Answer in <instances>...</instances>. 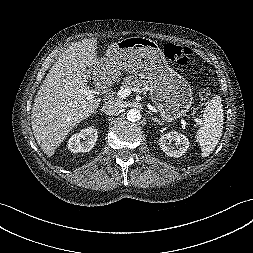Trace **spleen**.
Here are the masks:
<instances>
[{"mask_svg": "<svg viewBox=\"0 0 253 253\" xmlns=\"http://www.w3.org/2000/svg\"><path fill=\"white\" fill-rule=\"evenodd\" d=\"M223 105L220 96L213 97L206 106L202 125L196 132L202 157H207L217 146L223 131Z\"/></svg>", "mask_w": 253, "mask_h": 253, "instance_id": "3e777b00", "label": "spleen"}]
</instances>
